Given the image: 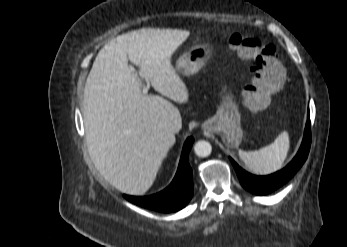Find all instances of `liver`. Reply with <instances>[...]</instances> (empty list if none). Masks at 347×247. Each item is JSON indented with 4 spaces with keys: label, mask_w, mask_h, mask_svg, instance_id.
I'll return each instance as SVG.
<instances>
[{
    "label": "liver",
    "mask_w": 347,
    "mask_h": 247,
    "mask_svg": "<svg viewBox=\"0 0 347 247\" xmlns=\"http://www.w3.org/2000/svg\"><path fill=\"white\" fill-rule=\"evenodd\" d=\"M185 30L147 28L117 36L98 53L84 88L83 120L89 155L116 189L144 194L182 128L177 107L141 92L139 74L163 96L182 104L189 91L171 65Z\"/></svg>",
    "instance_id": "6515ba94"
}]
</instances>
